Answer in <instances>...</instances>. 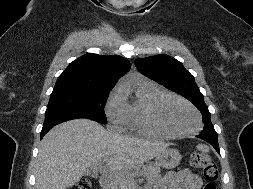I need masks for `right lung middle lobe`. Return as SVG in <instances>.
<instances>
[{
	"label": "right lung middle lobe",
	"mask_w": 253,
	"mask_h": 189,
	"mask_svg": "<svg viewBox=\"0 0 253 189\" xmlns=\"http://www.w3.org/2000/svg\"><path fill=\"white\" fill-rule=\"evenodd\" d=\"M112 88H54L45 112V121L88 118L107 123L104 107Z\"/></svg>",
	"instance_id": "dd1d6c3e"
}]
</instances>
